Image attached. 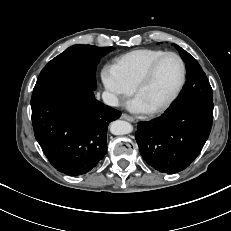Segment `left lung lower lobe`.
Returning a JSON list of instances; mask_svg holds the SVG:
<instances>
[{
  "instance_id": "0a47b994",
  "label": "left lung lower lobe",
  "mask_w": 231,
  "mask_h": 231,
  "mask_svg": "<svg viewBox=\"0 0 231 231\" xmlns=\"http://www.w3.org/2000/svg\"><path fill=\"white\" fill-rule=\"evenodd\" d=\"M212 121V101L191 99L173 103L160 117L138 123L136 140L140 153L160 172H180L202 150Z\"/></svg>"
}]
</instances>
